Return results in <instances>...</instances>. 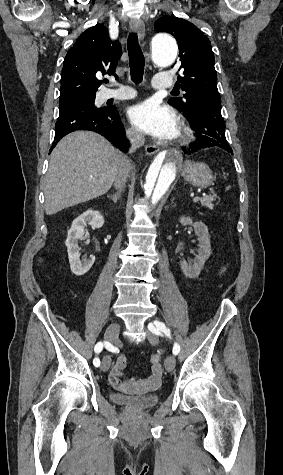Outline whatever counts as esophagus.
<instances>
[{"label": "esophagus", "instance_id": "34e87169", "mask_svg": "<svg viewBox=\"0 0 283 475\" xmlns=\"http://www.w3.org/2000/svg\"><path fill=\"white\" fill-rule=\"evenodd\" d=\"M130 27L137 32L138 37L140 40H143L145 37V24L142 20L139 19H131L130 20ZM147 155H154L155 153L159 152V147L157 145H147L145 148Z\"/></svg>", "mask_w": 283, "mask_h": 475}]
</instances>
